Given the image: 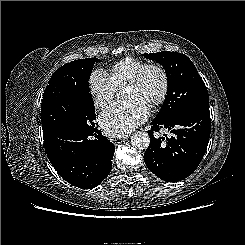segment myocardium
I'll return each instance as SVG.
<instances>
[{
    "label": "myocardium",
    "mask_w": 245,
    "mask_h": 245,
    "mask_svg": "<svg viewBox=\"0 0 245 245\" xmlns=\"http://www.w3.org/2000/svg\"><path fill=\"white\" fill-rule=\"evenodd\" d=\"M151 71H157L160 74L162 80V88L159 95L149 103L150 106L157 107L163 104L166 100L170 85L168 72L162 65L148 64L141 71H139L132 79H130L126 83L125 87L140 85Z\"/></svg>",
    "instance_id": "myocardium-1"
}]
</instances>
